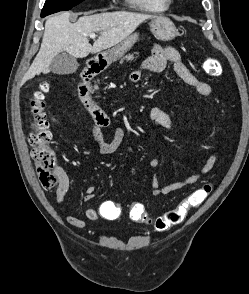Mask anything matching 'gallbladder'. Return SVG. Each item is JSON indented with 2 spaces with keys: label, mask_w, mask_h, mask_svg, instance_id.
I'll list each match as a JSON object with an SVG mask.
<instances>
[{
  "label": "gallbladder",
  "mask_w": 249,
  "mask_h": 294,
  "mask_svg": "<svg viewBox=\"0 0 249 294\" xmlns=\"http://www.w3.org/2000/svg\"><path fill=\"white\" fill-rule=\"evenodd\" d=\"M78 62L75 57L67 53L56 55L51 64L50 70L58 75L72 74L78 69Z\"/></svg>",
  "instance_id": "1"
}]
</instances>
